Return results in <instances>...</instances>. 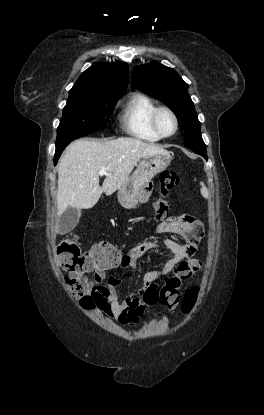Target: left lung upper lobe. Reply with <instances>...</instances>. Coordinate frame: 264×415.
I'll list each match as a JSON object with an SVG mask.
<instances>
[{
	"label": "left lung upper lobe",
	"mask_w": 264,
	"mask_h": 415,
	"mask_svg": "<svg viewBox=\"0 0 264 415\" xmlns=\"http://www.w3.org/2000/svg\"><path fill=\"white\" fill-rule=\"evenodd\" d=\"M132 90L138 88L164 102L175 113L180 127L185 131L186 147H203L200 122L188 94V84L169 67L152 61L136 66L132 72Z\"/></svg>",
	"instance_id": "obj_1"
}]
</instances>
